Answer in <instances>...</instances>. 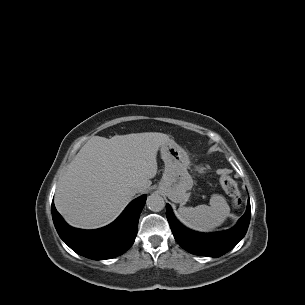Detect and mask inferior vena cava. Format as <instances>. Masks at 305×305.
<instances>
[{
    "instance_id": "1",
    "label": "inferior vena cava",
    "mask_w": 305,
    "mask_h": 305,
    "mask_svg": "<svg viewBox=\"0 0 305 305\" xmlns=\"http://www.w3.org/2000/svg\"><path fill=\"white\" fill-rule=\"evenodd\" d=\"M134 188H135V189H138V188H139V185H134Z\"/></svg>"
}]
</instances>
